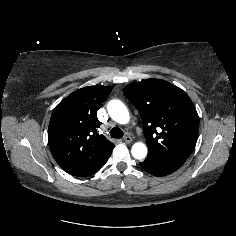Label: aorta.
<instances>
[{
    "label": "aorta",
    "mask_w": 236,
    "mask_h": 236,
    "mask_svg": "<svg viewBox=\"0 0 236 236\" xmlns=\"http://www.w3.org/2000/svg\"><path fill=\"white\" fill-rule=\"evenodd\" d=\"M107 110L114 121L120 124L128 123L130 119L128 109L120 100H111L108 103ZM131 153L135 159H144L147 156V147L144 143L137 142L132 146Z\"/></svg>",
    "instance_id": "aorta-1"
}]
</instances>
